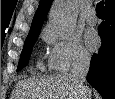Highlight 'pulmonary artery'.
Wrapping results in <instances>:
<instances>
[{
  "mask_svg": "<svg viewBox=\"0 0 115 99\" xmlns=\"http://www.w3.org/2000/svg\"><path fill=\"white\" fill-rule=\"evenodd\" d=\"M86 20L89 24H95L97 22V16L93 10L87 13Z\"/></svg>",
  "mask_w": 115,
  "mask_h": 99,
  "instance_id": "pulmonary-artery-1",
  "label": "pulmonary artery"
}]
</instances>
